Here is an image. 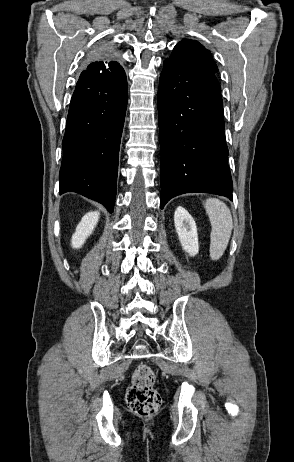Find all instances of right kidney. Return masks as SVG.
I'll return each mask as SVG.
<instances>
[{"mask_svg":"<svg viewBox=\"0 0 294 462\" xmlns=\"http://www.w3.org/2000/svg\"><path fill=\"white\" fill-rule=\"evenodd\" d=\"M100 213L98 211L88 212L83 216L80 223L77 225L75 233L72 235L71 246L73 248H81L86 239L92 234L99 220Z\"/></svg>","mask_w":294,"mask_h":462,"instance_id":"obj_1","label":"right kidney"}]
</instances>
